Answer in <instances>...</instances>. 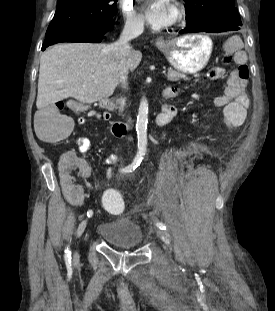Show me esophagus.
<instances>
[{
  "label": "esophagus",
  "mask_w": 275,
  "mask_h": 311,
  "mask_svg": "<svg viewBox=\"0 0 275 311\" xmlns=\"http://www.w3.org/2000/svg\"><path fill=\"white\" fill-rule=\"evenodd\" d=\"M156 43L157 44H163L164 43V39L162 37H159L156 39Z\"/></svg>",
  "instance_id": "esophagus-1"
}]
</instances>
